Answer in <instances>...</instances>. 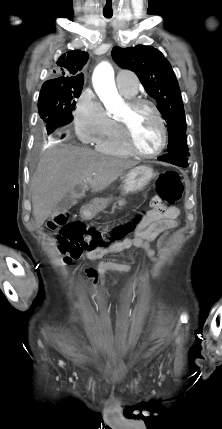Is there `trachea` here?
Segmentation results:
<instances>
[{"instance_id":"1","label":"trachea","mask_w":222,"mask_h":429,"mask_svg":"<svg viewBox=\"0 0 222 429\" xmlns=\"http://www.w3.org/2000/svg\"><path fill=\"white\" fill-rule=\"evenodd\" d=\"M104 16H105L106 18H111V17H112V13H104Z\"/></svg>"}]
</instances>
